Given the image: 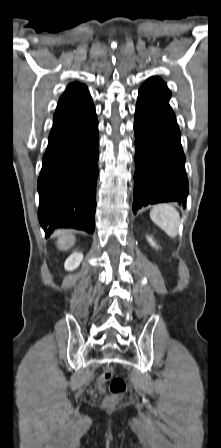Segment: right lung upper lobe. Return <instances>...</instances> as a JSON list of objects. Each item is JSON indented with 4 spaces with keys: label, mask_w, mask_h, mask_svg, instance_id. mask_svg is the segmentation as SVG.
Listing matches in <instances>:
<instances>
[{
    "label": "right lung upper lobe",
    "mask_w": 221,
    "mask_h": 448,
    "mask_svg": "<svg viewBox=\"0 0 221 448\" xmlns=\"http://www.w3.org/2000/svg\"><path fill=\"white\" fill-rule=\"evenodd\" d=\"M87 94H89V92L84 84L78 82L69 84L65 93L60 97L56 110L86 96Z\"/></svg>",
    "instance_id": "obj_1"
}]
</instances>
